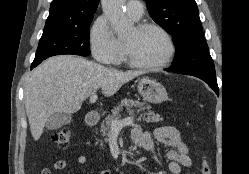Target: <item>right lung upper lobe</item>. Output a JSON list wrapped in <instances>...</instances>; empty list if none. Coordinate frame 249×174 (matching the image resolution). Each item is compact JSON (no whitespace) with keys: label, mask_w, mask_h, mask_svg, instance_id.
<instances>
[{"label":"right lung upper lobe","mask_w":249,"mask_h":174,"mask_svg":"<svg viewBox=\"0 0 249 174\" xmlns=\"http://www.w3.org/2000/svg\"><path fill=\"white\" fill-rule=\"evenodd\" d=\"M100 0H53L44 31L93 19Z\"/></svg>","instance_id":"cb5924a9"}]
</instances>
